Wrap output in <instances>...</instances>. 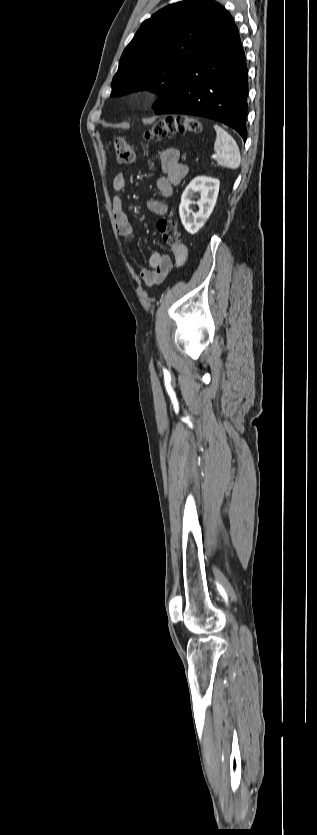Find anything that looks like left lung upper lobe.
<instances>
[{"label":"left lung upper lobe","instance_id":"1","mask_svg":"<svg viewBox=\"0 0 317 835\" xmlns=\"http://www.w3.org/2000/svg\"><path fill=\"white\" fill-rule=\"evenodd\" d=\"M227 11L212 0L169 5L144 21L124 50L111 96L148 89L159 93L154 109L173 103L194 61Z\"/></svg>","mask_w":317,"mask_h":835}]
</instances>
